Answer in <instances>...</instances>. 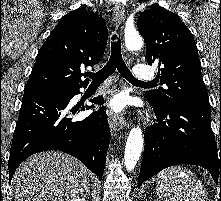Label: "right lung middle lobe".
Masks as SVG:
<instances>
[{
  "label": "right lung middle lobe",
  "mask_w": 221,
  "mask_h": 201,
  "mask_svg": "<svg viewBox=\"0 0 221 201\" xmlns=\"http://www.w3.org/2000/svg\"><path fill=\"white\" fill-rule=\"evenodd\" d=\"M31 90L32 91H39V92H58V91H60V90H51V89H31Z\"/></svg>",
  "instance_id": "dd1d6c3e"
}]
</instances>
